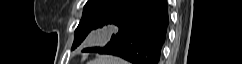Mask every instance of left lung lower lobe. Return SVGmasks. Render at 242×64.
Wrapping results in <instances>:
<instances>
[{"instance_id":"left-lung-lower-lobe-1","label":"left lung lower lobe","mask_w":242,"mask_h":64,"mask_svg":"<svg viewBox=\"0 0 242 64\" xmlns=\"http://www.w3.org/2000/svg\"><path fill=\"white\" fill-rule=\"evenodd\" d=\"M119 28L105 47L86 48L119 56L133 64H158L169 24L166 0H123L110 10L96 28Z\"/></svg>"}]
</instances>
